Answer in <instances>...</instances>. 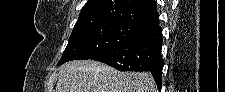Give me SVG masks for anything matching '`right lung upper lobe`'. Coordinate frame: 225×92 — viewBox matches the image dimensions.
Returning a JSON list of instances; mask_svg holds the SVG:
<instances>
[{"label":"right lung upper lobe","instance_id":"cb5924a9","mask_svg":"<svg viewBox=\"0 0 225 92\" xmlns=\"http://www.w3.org/2000/svg\"><path fill=\"white\" fill-rule=\"evenodd\" d=\"M119 22L142 32L159 27L155 0H88L75 26ZM74 26V27H75Z\"/></svg>","mask_w":225,"mask_h":92}]
</instances>
